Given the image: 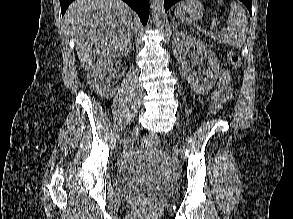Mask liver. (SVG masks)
<instances>
[{
    "instance_id": "liver-1",
    "label": "liver",
    "mask_w": 293,
    "mask_h": 219,
    "mask_svg": "<svg viewBox=\"0 0 293 219\" xmlns=\"http://www.w3.org/2000/svg\"><path fill=\"white\" fill-rule=\"evenodd\" d=\"M64 22L85 70L96 57H119L131 50L132 10L121 0H75Z\"/></svg>"
}]
</instances>
